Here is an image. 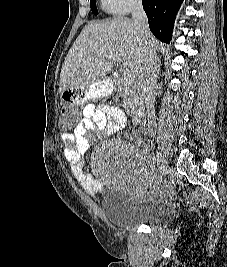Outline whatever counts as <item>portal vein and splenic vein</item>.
<instances>
[{"label": "portal vein and splenic vein", "mask_w": 227, "mask_h": 267, "mask_svg": "<svg viewBox=\"0 0 227 267\" xmlns=\"http://www.w3.org/2000/svg\"><path fill=\"white\" fill-rule=\"evenodd\" d=\"M117 63H120L119 60H117ZM124 80L126 81V83L128 84H133L135 81L136 76L129 70H125L124 74H123Z\"/></svg>", "instance_id": "1"}]
</instances>
